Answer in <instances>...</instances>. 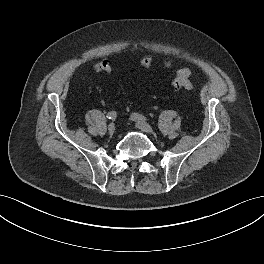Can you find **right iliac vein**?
Wrapping results in <instances>:
<instances>
[{"mask_svg": "<svg viewBox=\"0 0 264 264\" xmlns=\"http://www.w3.org/2000/svg\"><path fill=\"white\" fill-rule=\"evenodd\" d=\"M114 131H115V125L113 123L109 124V126H108L109 134H113Z\"/></svg>", "mask_w": 264, "mask_h": 264, "instance_id": "63e3f726", "label": "right iliac vein"}]
</instances>
